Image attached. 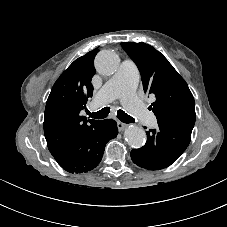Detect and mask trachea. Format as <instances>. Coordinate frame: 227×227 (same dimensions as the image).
I'll return each mask as SVG.
<instances>
[{"label":"trachea","instance_id":"1","mask_svg":"<svg viewBox=\"0 0 227 227\" xmlns=\"http://www.w3.org/2000/svg\"><path fill=\"white\" fill-rule=\"evenodd\" d=\"M110 112V108L109 107H105L103 109H101L98 112H90L87 110V115H89V117L91 118H95V119H104L108 116ZM117 117L124 123H134L135 119L132 118L131 116L127 115L123 110L119 109L117 111Z\"/></svg>","mask_w":227,"mask_h":227}]
</instances>
